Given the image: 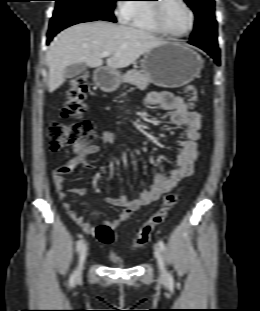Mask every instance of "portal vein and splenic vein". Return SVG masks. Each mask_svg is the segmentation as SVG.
Instances as JSON below:
<instances>
[{"instance_id": "1", "label": "portal vein and splenic vein", "mask_w": 260, "mask_h": 311, "mask_svg": "<svg viewBox=\"0 0 260 311\" xmlns=\"http://www.w3.org/2000/svg\"><path fill=\"white\" fill-rule=\"evenodd\" d=\"M101 57H109L110 53L109 52H103L100 54Z\"/></svg>"}]
</instances>
